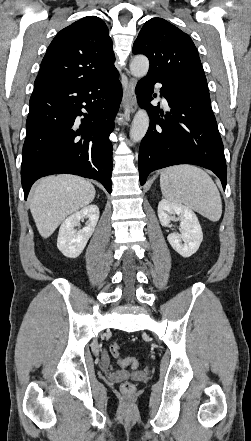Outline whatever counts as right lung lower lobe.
<instances>
[{
  "label": "right lung lower lobe",
  "mask_w": 251,
  "mask_h": 441,
  "mask_svg": "<svg viewBox=\"0 0 251 441\" xmlns=\"http://www.w3.org/2000/svg\"><path fill=\"white\" fill-rule=\"evenodd\" d=\"M117 78L114 70L95 80L33 91L22 150L25 199L37 179L57 173L98 180L111 193L109 135L122 98Z\"/></svg>",
  "instance_id": "right-lung-lower-lobe-1"
}]
</instances>
